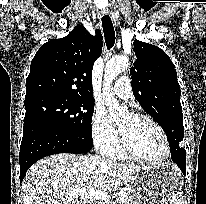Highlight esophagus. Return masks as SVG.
I'll return each mask as SVG.
<instances>
[{
    "instance_id": "esophagus-1",
    "label": "esophagus",
    "mask_w": 206,
    "mask_h": 204,
    "mask_svg": "<svg viewBox=\"0 0 206 204\" xmlns=\"http://www.w3.org/2000/svg\"><path fill=\"white\" fill-rule=\"evenodd\" d=\"M109 14V12L108 11H102V15H108Z\"/></svg>"
}]
</instances>
